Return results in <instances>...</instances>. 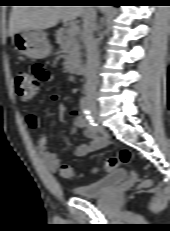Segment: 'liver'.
<instances>
[{
  "instance_id": "1",
  "label": "liver",
  "mask_w": 170,
  "mask_h": 231,
  "mask_svg": "<svg viewBox=\"0 0 170 231\" xmlns=\"http://www.w3.org/2000/svg\"><path fill=\"white\" fill-rule=\"evenodd\" d=\"M81 15L82 6H14L9 20V35L24 29H48L60 20L73 21Z\"/></svg>"
}]
</instances>
